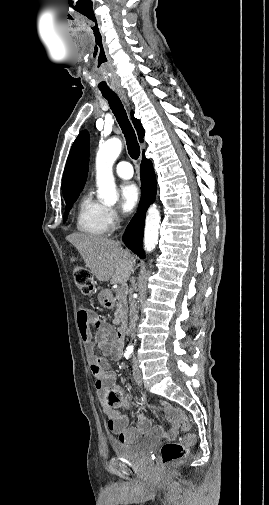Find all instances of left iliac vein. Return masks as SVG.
<instances>
[{"label":"left iliac vein","mask_w":269,"mask_h":505,"mask_svg":"<svg viewBox=\"0 0 269 505\" xmlns=\"http://www.w3.org/2000/svg\"><path fill=\"white\" fill-rule=\"evenodd\" d=\"M133 378L138 386L142 385V374L136 363L133 364Z\"/></svg>","instance_id":"1"}]
</instances>
